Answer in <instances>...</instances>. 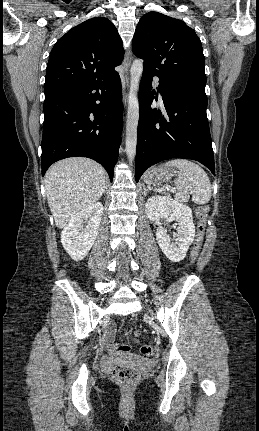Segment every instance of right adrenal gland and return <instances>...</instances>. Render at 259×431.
Returning a JSON list of instances; mask_svg holds the SVG:
<instances>
[{
    "instance_id": "2a0ac1e0",
    "label": "right adrenal gland",
    "mask_w": 259,
    "mask_h": 431,
    "mask_svg": "<svg viewBox=\"0 0 259 431\" xmlns=\"http://www.w3.org/2000/svg\"><path fill=\"white\" fill-rule=\"evenodd\" d=\"M106 191H107V186L105 187L104 193H106Z\"/></svg>"
}]
</instances>
